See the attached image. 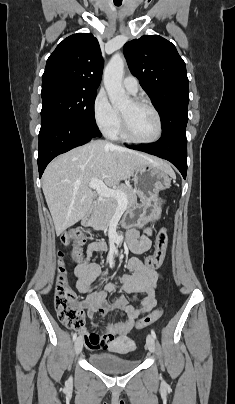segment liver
<instances>
[{
    "instance_id": "obj_1",
    "label": "liver",
    "mask_w": 235,
    "mask_h": 404,
    "mask_svg": "<svg viewBox=\"0 0 235 404\" xmlns=\"http://www.w3.org/2000/svg\"><path fill=\"white\" fill-rule=\"evenodd\" d=\"M147 163L169 175L174 174L170 165L159 158L102 140L91 141L58 156L42 177V190L56 234L73 226L90 210L94 198L89 187L92 178L113 186Z\"/></svg>"
}]
</instances>
